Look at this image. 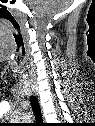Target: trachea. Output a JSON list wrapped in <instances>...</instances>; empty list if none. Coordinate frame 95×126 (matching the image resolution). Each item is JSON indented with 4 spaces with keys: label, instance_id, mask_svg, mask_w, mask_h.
Masks as SVG:
<instances>
[{
    "label": "trachea",
    "instance_id": "1",
    "mask_svg": "<svg viewBox=\"0 0 95 126\" xmlns=\"http://www.w3.org/2000/svg\"><path fill=\"white\" fill-rule=\"evenodd\" d=\"M30 102L35 116L36 124H42L43 119H42V114H41V109H40L38 99L32 95L30 96Z\"/></svg>",
    "mask_w": 95,
    "mask_h": 126
}]
</instances>
